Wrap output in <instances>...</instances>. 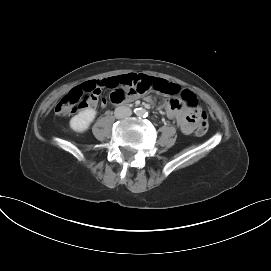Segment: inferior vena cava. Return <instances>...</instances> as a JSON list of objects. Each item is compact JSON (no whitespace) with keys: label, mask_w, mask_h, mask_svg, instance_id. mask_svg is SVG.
I'll use <instances>...</instances> for the list:
<instances>
[{"label":"inferior vena cava","mask_w":271,"mask_h":271,"mask_svg":"<svg viewBox=\"0 0 271 271\" xmlns=\"http://www.w3.org/2000/svg\"><path fill=\"white\" fill-rule=\"evenodd\" d=\"M114 114L116 118H126L132 115V111L129 107L120 106L115 109Z\"/></svg>","instance_id":"obj_1"}]
</instances>
